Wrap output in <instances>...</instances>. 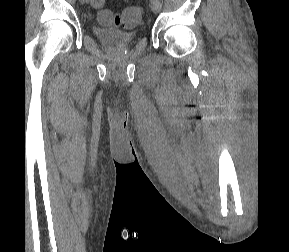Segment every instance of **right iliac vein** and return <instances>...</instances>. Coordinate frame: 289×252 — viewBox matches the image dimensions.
<instances>
[{"instance_id":"obj_1","label":"right iliac vein","mask_w":289,"mask_h":252,"mask_svg":"<svg viewBox=\"0 0 289 252\" xmlns=\"http://www.w3.org/2000/svg\"><path fill=\"white\" fill-rule=\"evenodd\" d=\"M81 3L89 2L90 0H80Z\"/></svg>"}]
</instances>
